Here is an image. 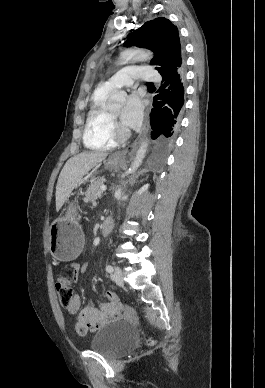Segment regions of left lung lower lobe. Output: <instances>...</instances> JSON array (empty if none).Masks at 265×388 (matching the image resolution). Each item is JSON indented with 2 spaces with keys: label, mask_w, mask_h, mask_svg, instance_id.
Instances as JSON below:
<instances>
[{
  "label": "left lung lower lobe",
  "mask_w": 265,
  "mask_h": 388,
  "mask_svg": "<svg viewBox=\"0 0 265 388\" xmlns=\"http://www.w3.org/2000/svg\"><path fill=\"white\" fill-rule=\"evenodd\" d=\"M162 76L158 94L154 96L150 114L152 139L154 140L150 162L159 167L177 135L184 108L185 69L184 66L168 71Z\"/></svg>",
  "instance_id": "obj_1"
}]
</instances>
